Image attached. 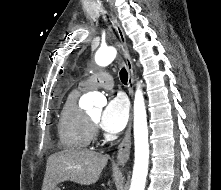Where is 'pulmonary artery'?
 Segmentation results:
<instances>
[{"label":"pulmonary artery","mask_w":221,"mask_h":190,"mask_svg":"<svg viewBox=\"0 0 221 190\" xmlns=\"http://www.w3.org/2000/svg\"><path fill=\"white\" fill-rule=\"evenodd\" d=\"M80 85L83 89H96L99 87L111 89L113 87V78L107 71H98L83 80Z\"/></svg>","instance_id":"obj_1"}]
</instances>
